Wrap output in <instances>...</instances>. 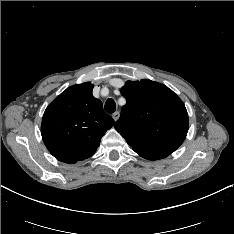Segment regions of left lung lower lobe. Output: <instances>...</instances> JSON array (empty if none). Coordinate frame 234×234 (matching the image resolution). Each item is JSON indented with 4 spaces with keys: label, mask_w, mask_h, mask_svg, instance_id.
<instances>
[{
    "label": "left lung lower lobe",
    "mask_w": 234,
    "mask_h": 234,
    "mask_svg": "<svg viewBox=\"0 0 234 234\" xmlns=\"http://www.w3.org/2000/svg\"><path fill=\"white\" fill-rule=\"evenodd\" d=\"M136 153H138L140 156H142L145 159L148 160H157L167 157L170 153L166 152H147V151H140V150H134Z\"/></svg>",
    "instance_id": "left-lung-lower-lobe-1"
}]
</instances>
